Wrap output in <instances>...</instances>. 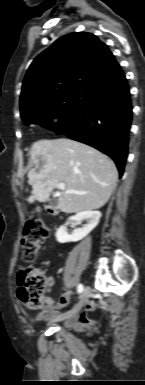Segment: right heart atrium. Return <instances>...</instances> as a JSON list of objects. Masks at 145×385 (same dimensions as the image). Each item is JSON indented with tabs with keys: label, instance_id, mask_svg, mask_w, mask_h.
Returning <instances> with one entry per match:
<instances>
[{
	"label": "right heart atrium",
	"instance_id": "d8ad5b80",
	"mask_svg": "<svg viewBox=\"0 0 145 385\" xmlns=\"http://www.w3.org/2000/svg\"><path fill=\"white\" fill-rule=\"evenodd\" d=\"M50 121L55 123V122H57V118L53 117V118L50 119Z\"/></svg>",
	"mask_w": 145,
	"mask_h": 385
}]
</instances>
